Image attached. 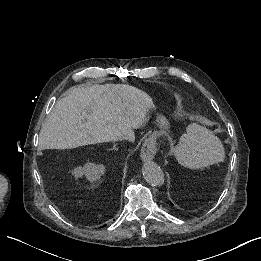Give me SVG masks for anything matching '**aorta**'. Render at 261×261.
Segmentation results:
<instances>
[{
	"label": "aorta",
	"mask_w": 261,
	"mask_h": 261,
	"mask_svg": "<svg viewBox=\"0 0 261 261\" xmlns=\"http://www.w3.org/2000/svg\"><path fill=\"white\" fill-rule=\"evenodd\" d=\"M142 173L147 183L152 186H161L164 183V173L155 162H146L142 167Z\"/></svg>",
	"instance_id": "1"
}]
</instances>
